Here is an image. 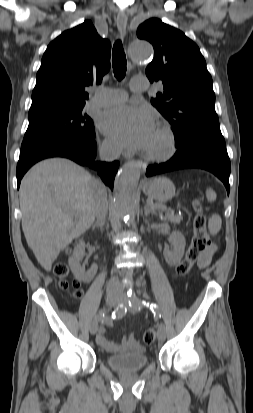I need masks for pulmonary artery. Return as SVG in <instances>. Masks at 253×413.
Wrapping results in <instances>:
<instances>
[{"mask_svg": "<svg viewBox=\"0 0 253 413\" xmlns=\"http://www.w3.org/2000/svg\"><path fill=\"white\" fill-rule=\"evenodd\" d=\"M131 89L134 92H139L145 90L146 86L132 83ZM126 98L127 95L122 90L111 88L101 89L95 92L91 104L96 107H109L124 102Z\"/></svg>", "mask_w": 253, "mask_h": 413, "instance_id": "e3ab8cb5", "label": "pulmonary artery"}]
</instances>
